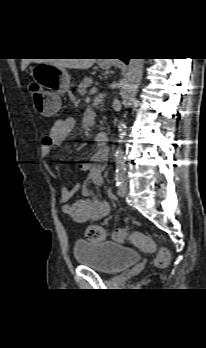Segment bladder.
I'll list each match as a JSON object with an SVG mask.
<instances>
[{
  "mask_svg": "<svg viewBox=\"0 0 206 348\" xmlns=\"http://www.w3.org/2000/svg\"><path fill=\"white\" fill-rule=\"evenodd\" d=\"M74 256L78 265L104 274L119 273L141 258L135 249L112 241H76Z\"/></svg>",
  "mask_w": 206,
  "mask_h": 348,
  "instance_id": "obj_1",
  "label": "bladder"
}]
</instances>
